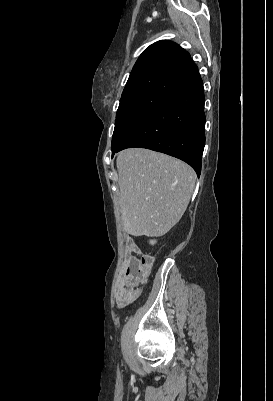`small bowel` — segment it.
<instances>
[{"instance_id":"obj_1","label":"small bowel","mask_w":273,"mask_h":401,"mask_svg":"<svg viewBox=\"0 0 273 401\" xmlns=\"http://www.w3.org/2000/svg\"><path fill=\"white\" fill-rule=\"evenodd\" d=\"M129 256H131V255H129ZM146 281L147 280H140L141 284L146 283ZM116 301L119 306H126L128 304H140L141 291L140 290H121L120 295H118L116 298Z\"/></svg>"}]
</instances>
